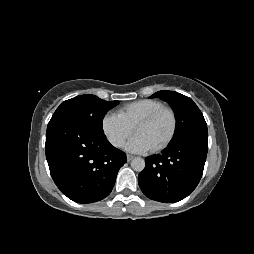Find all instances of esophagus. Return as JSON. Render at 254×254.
<instances>
[{
	"mask_svg": "<svg viewBox=\"0 0 254 254\" xmlns=\"http://www.w3.org/2000/svg\"><path fill=\"white\" fill-rule=\"evenodd\" d=\"M134 158L133 155L127 154V161L130 162Z\"/></svg>",
	"mask_w": 254,
	"mask_h": 254,
	"instance_id": "34e87169",
	"label": "esophagus"
}]
</instances>
